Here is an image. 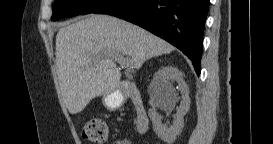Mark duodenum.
Returning a JSON list of instances; mask_svg holds the SVG:
<instances>
[{
  "label": "duodenum",
  "mask_w": 273,
  "mask_h": 144,
  "mask_svg": "<svg viewBox=\"0 0 273 144\" xmlns=\"http://www.w3.org/2000/svg\"><path fill=\"white\" fill-rule=\"evenodd\" d=\"M122 96L128 97L135 112V127L138 133H145L149 127V117L139 88L132 82L122 83L119 87Z\"/></svg>",
  "instance_id": "410a0bca"
}]
</instances>
